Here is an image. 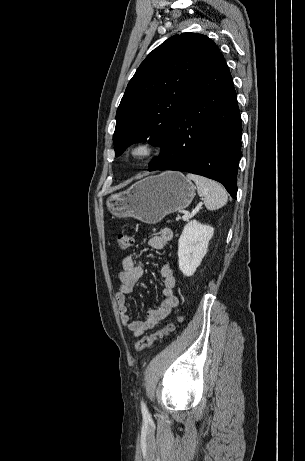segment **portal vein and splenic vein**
Listing matches in <instances>:
<instances>
[{
  "instance_id": "18ae733b",
  "label": "portal vein and splenic vein",
  "mask_w": 305,
  "mask_h": 461,
  "mask_svg": "<svg viewBox=\"0 0 305 461\" xmlns=\"http://www.w3.org/2000/svg\"><path fill=\"white\" fill-rule=\"evenodd\" d=\"M201 205H202V203L199 204V206L197 207V209H199ZM190 217H192V215H190V214L188 215V214H187V215H183V216H182V219H183L184 221H188Z\"/></svg>"
}]
</instances>
